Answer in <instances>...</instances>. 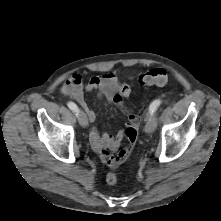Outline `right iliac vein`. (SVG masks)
I'll list each match as a JSON object with an SVG mask.
<instances>
[{
  "label": "right iliac vein",
  "instance_id": "obj_1",
  "mask_svg": "<svg viewBox=\"0 0 221 221\" xmlns=\"http://www.w3.org/2000/svg\"><path fill=\"white\" fill-rule=\"evenodd\" d=\"M77 119H78V122L81 126H83V127L88 126V118H87L85 112H83L82 110H78Z\"/></svg>",
  "mask_w": 221,
  "mask_h": 221
}]
</instances>
